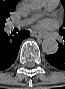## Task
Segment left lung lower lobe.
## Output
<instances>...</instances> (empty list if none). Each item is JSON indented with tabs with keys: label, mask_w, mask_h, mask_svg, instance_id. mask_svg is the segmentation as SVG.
I'll return each instance as SVG.
<instances>
[{
	"label": "left lung lower lobe",
	"mask_w": 65,
	"mask_h": 89,
	"mask_svg": "<svg viewBox=\"0 0 65 89\" xmlns=\"http://www.w3.org/2000/svg\"><path fill=\"white\" fill-rule=\"evenodd\" d=\"M63 35V39L65 41V35ZM59 49L53 55L45 56L46 60L55 68L60 70H65V42L58 43Z\"/></svg>",
	"instance_id": "1"
}]
</instances>
